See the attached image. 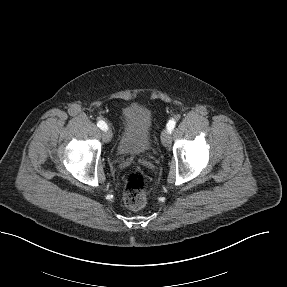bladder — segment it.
Here are the masks:
<instances>
[{"label": "bladder", "mask_w": 287, "mask_h": 287, "mask_svg": "<svg viewBox=\"0 0 287 287\" xmlns=\"http://www.w3.org/2000/svg\"><path fill=\"white\" fill-rule=\"evenodd\" d=\"M122 127L117 142V152L121 155H142L153 144L152 116L148 109L140 105H129L121 112Z\"/></svg>", "instance_id": "31cf9c89"}]
</instances>
